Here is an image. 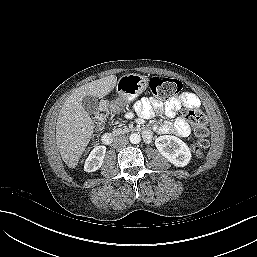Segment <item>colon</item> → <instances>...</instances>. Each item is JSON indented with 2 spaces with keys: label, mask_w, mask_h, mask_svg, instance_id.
<instances>
[{
  "label": "colon",
  "mask_w": 257,
  "mask_h": 257,
  "mask_svg": "<svg viewBox=\"0 0 257 257\" xmlns=\"http://www.w3.org/2000/svg\"><path fill=\"white\" fill-rule=\"evenodd\" d=\"M149 87L154 96L161 100H165L172 95L176 94L181 84L174 78L164 76H153L149 80ZM109 101H102L100 103L98 113L96 116V125L101 126L108 116ZM185 119L194 127L195 142L193 144V153L196 157L203 155L204 150L208 146V127L207 118L205 114L197 108H188L184 111Z\"/></svg>",
  "instance_id": "colon-1"
}]
</instances>
